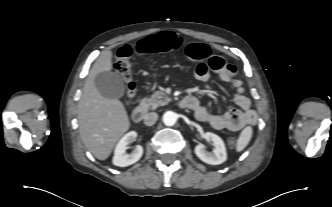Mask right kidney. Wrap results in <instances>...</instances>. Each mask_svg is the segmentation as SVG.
<instances>
[{
    "label": "right kidney",
    "mask_w": 332,
    "mask_h": 207,
    "mask_svg": "<svg viewBox=\"0 0 332 207\" xmlns=\"http://www.w3.org/2000/svg\"><path fill=\"white\" fill-rule=\"evenodd\" d=\"M137 137V133L135 131H130L125 134L120 141L117 143L113 156V164L119 167H126L136 163L143 155L142 146L138 145L131 152L127 153V145L134 141Z\"/></svg>",
    "instance_id": "ca27d5eb"
}]
</instances>
